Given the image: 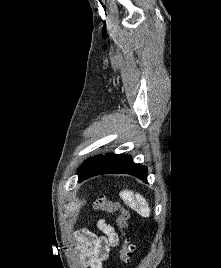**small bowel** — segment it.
Segmentation results:
<instances>
[{
	"mask_svg": "<svg viewBox=\"0 0 221 268\" xmlns=\"http://www.w3.org/2000/svg\"><path fill=\"white\" fill-rule=\"evenodd\" d=\"M98 228L103 233L102 236L86 228L75 233L80 258L88 268H102V263L108 258L111 248L118 243V235L111 225L101 220Z\"/></svg>",
	"mask_w": 221,
	"mask_h": 268,
	"instance_id": "obj_1",
	"label": "small bowel"
}]
</instances>
